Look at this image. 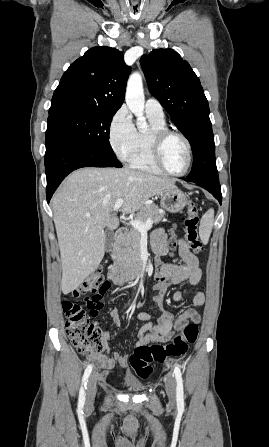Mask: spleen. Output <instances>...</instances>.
<instances>
[{
    "mask_svg": "<svg viewBox=\"0 0 269 447\" xmlns=\"http://www.w3.org/2000/svg\"><path fill=\"white\" fill-rule=\"evenodd\" d=\"M213 224H214V210L213 208H210V210H208V212H206V214L202 216L199 225V235L202 243H208Z\"/></svg>",
    "mask_w": 269,
    "mask_h": 447,
    "instance_id": "3e777b00",
    "label": "spleen"
}]
</instances>
